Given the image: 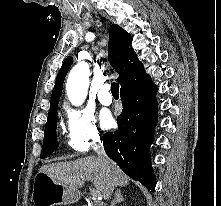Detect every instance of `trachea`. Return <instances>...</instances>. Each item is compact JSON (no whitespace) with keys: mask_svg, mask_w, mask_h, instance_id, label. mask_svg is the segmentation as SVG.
<instances>
[{"mask_svg":"<svg viewBox=\"0 0 221 206\" xmlns=\"http://www.w3.org/2000/svg\"><path fill=\"white\" fill-rule=\"evenodd\" d=\"M111 93L113 96H119V84L118 83L111 84Z\"/></svg>","mask_w":221,"mask_h":206,"instance_id":"trachea-1","label":"trachea"}]
</instances>
